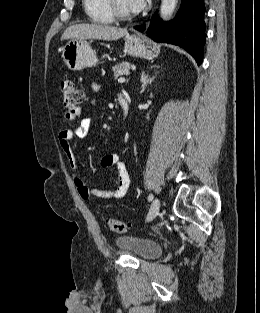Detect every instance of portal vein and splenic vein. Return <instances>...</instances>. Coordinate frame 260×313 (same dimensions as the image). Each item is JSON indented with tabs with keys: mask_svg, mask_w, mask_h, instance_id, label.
I'll return each mask as SVG.
<instances>
[{
	"mask_svg": "<svg viewBox=\"0 0 260 313\" xmlns=\"http://www.w3.org/2000/svg\"><path fill=\"white\" fill-rule=\"evenodd\" d=\"M125 81H126L125 78H119V79H118V82H119V83H124Z\"/></svg>",
	"mask_w": 260,
	"mask_h": 313,
	"instance_id": "portal-vein-and-splenic-vein-1",
	"label": "portal vein and splenic vein"
}]
</instances>
